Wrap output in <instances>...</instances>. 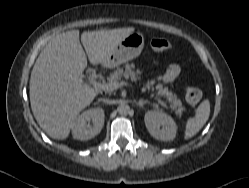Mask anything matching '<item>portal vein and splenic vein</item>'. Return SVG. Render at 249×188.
Masks as SVG:
<instances>
[{
    "mask_svg": "<svg viewBox=\"0 0 249 188\" xmlns=\"http://www.w3.org/2000/svg\"><path fill=\"white\" fill-rule=\"evenodd\" d=\"M94 87L99 88L104 91H112L122 86H130L128 82H115V83H100L96 81H91Z\"/></svg>",
    "mask_w": 249,
    "mask_h": 188,
    "instance_id": "18ae733b",
    "label": "portal vein and splenic vein"
}]
</instances>
